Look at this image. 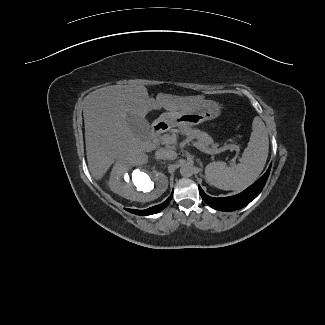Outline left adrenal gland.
Instances as JSON below:
<instances>
[{"label":"left adrenal gland","mask_w":325,"mask_h":325,"mask_svg":"<svg viewBox=\"0 0 325 325\" xmlns=\"http://www.w3.org/2000/svg\"><path fill=\"white\" fill-rule=\"evenodd\" d=\"M198 162H199V164H200V166L203 168V164H202V162L200 161V160H198ZM205 177V176H204ZM206 178V177H205Z\"/></svg>","instance_id":"left-adrenal-gland-1"}]
</instances>
